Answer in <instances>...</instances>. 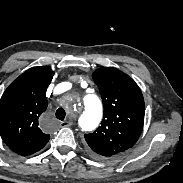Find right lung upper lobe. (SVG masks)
<instances>
[{
	"instance_id": "cb5924a9",
	"label": "right lung upper lobe",
	"mask_w": 183,
	"mask_h": 183,
	"mask_svg": "<svg viewBox=\"0 0 183 183\" xmlns=\"http://www.w3.org/2000/svg\"><path fill=\"white\" fill-rule=\"evenodd\" d=\"M53 75L47 67H33L13 81L0 99V135L19 155L39 151L50 139L38 119L47 109L46 90Z\"/></svg>"
}]
</instances>
